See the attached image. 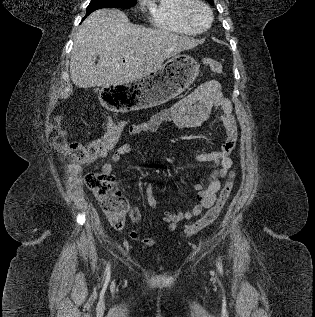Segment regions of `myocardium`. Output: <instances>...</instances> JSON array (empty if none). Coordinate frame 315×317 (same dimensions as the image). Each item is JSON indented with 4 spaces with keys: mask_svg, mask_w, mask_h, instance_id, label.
<instances>
[{
    "mask_svg": "<svg viewBox=\"0 0 315 317\" xmlns=\"http://www.w3.org/2000/svg\"><path fill=\"white\" fill-rule=\"evenodd\" d=\"M197 8H203L208 15V23L204 27H200L194 18V13ZM184 17L189 26H191L197 32H205L207 31L213 22V12L211 8L202 0H191V2L187 5L184 11Z\"/></svg>",
    "mask_w": 315,
    "mask_h": 317,
    "instance_id": "f54148a6",
    "label": "myocardium"
}]
</instances>
